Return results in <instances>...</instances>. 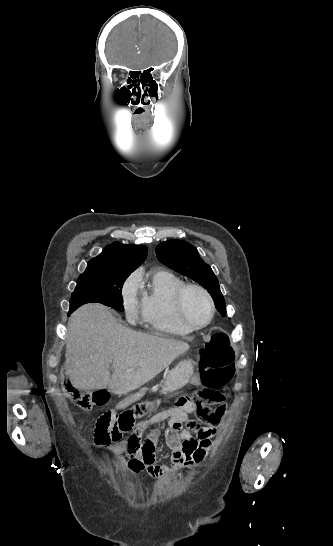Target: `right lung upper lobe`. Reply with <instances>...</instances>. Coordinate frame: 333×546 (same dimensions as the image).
<instances>
[{"instance_id": "obj_1", "label": "right lung upper lobe", "mask_w": 333, "mask_h": 546, "mask_svg": "<svg viewBox=\"0 0 333 546\" xmlns=\"http://www.w3.org/2000/svg\"><path fill=\"white\" fill-rule=\"evenodd\" d=\"M146 257L147 248L144 245H124L113 242L107 245L100 255L88 262L85 272L100 267L134 271L144 262Z\"/></svg>"}]
</instances>
